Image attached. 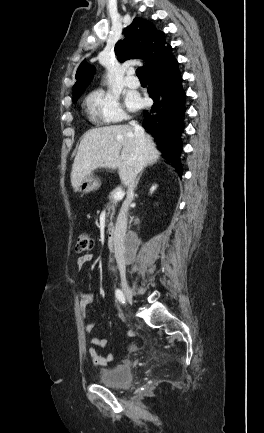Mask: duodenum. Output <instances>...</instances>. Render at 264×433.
Segmentation results:
<instances>
[{
	"instance_id": "obj_1",
	"label": "duodenum",
	"mask_w": 264,
	"mask_h": 433,
	"mask_svg": "<svg viewBox=\"0 0 264 433\" xmlns=\"http://www.w3.org/2000/svg\"><path fill=\"white\" fill-rule=\"evenodd\" d=\"M117 229L114 226H109L107 231V244L111 250L116 249Z\"/></svg>"
}]
</instances>
